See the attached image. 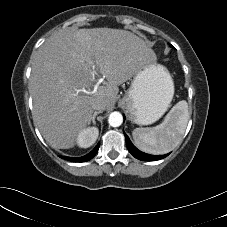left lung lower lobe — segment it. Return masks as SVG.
<instances>
[{
  "label": "left lung lower lobe",
  "mask_w": 227,
  "mask_h": 227,
  "mask_svg": "<svg viewBox=\"0 0 227 227\" xmlns=\"http://www.w3.org/2000/svg\"><path fill=\"white\" fill-rule=\"evenodd\" d=\"M125 138H126V145L127 148L129 150V152L137 159L142 160V161H155V160H159L162 159L166 156H168L169 154L166 155H162V156H155V155H150V154H146L141 152L140 150H138L130 141L129 137L124 133Z\"/></svg>",
  "instance_id": "1"
}]
</instances>
